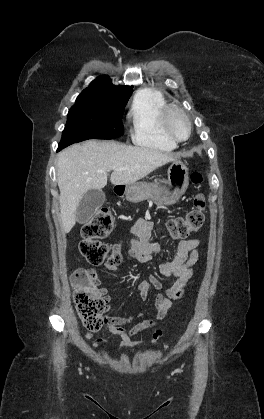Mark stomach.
Here are the masks:
<instances>
[{
	"label": "stomach",
	"mask_w": 264,
	"mask_h": 419,
	"mask_svg": "<svg viewBox=\"0 0 264 419\" xmlns=\"http://www.w3.org/2000/svg\"><path fill=\"white\" fill-rule=\"evenodd\" d=\"M188 185V168L176 159L168 168L167 179L126 185L123 194L126 200L132 203L151 200L158 206H167L177 203L185 194Z\"/></svg>",
	"instance_id": "0dacf381"
}]
</instances>
